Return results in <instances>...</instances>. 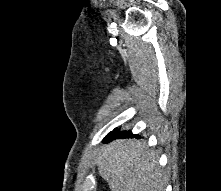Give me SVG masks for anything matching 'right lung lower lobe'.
Masks as SVG:
<instances>
[{
  "instance_id": "1",
  "label": "right lung lower lobe",
  "mask_w": 221,
  "mask_h": 191,
  "mask_svg": "<svg viewBox=\"0 0 221 191\" xmlns=\"http://www.w3.org/2000/svg\"><path fill=\"white\" fill-rule=\"evenodd\" d=\"M115 137H120V138H127V137H136L139 138L138 135H133L131 133V131H122L121 133H119V131L117 129H115L113 132L109 133L106 138L104 139V141H110Z\"/></svg>"
}]
</instances>
